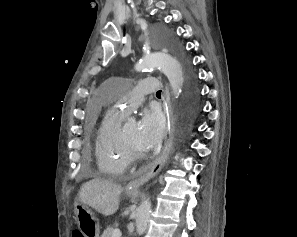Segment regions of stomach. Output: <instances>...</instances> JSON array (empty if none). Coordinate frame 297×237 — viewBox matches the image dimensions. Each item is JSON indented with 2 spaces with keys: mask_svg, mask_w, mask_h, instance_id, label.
<instances>
[{
  "mask_svg": "<svg viewBox=\"0 0 297 237\" xmlns=\"http://www.w3.org/2000/svg\"><path fill=\"white\" fill-rule=\"evenodd\" d=\"M126 193L128 196H132L134 194L132 191H127ZM74 212L81 234L84 237H99L100 225L94 213L83 204L76 205Z\"/></svg>",
  "mask_w": 297,
  "mask_h": 237,
  "instance_id": "0dacf381",
  "label": "stomach"
}]
</instances>
